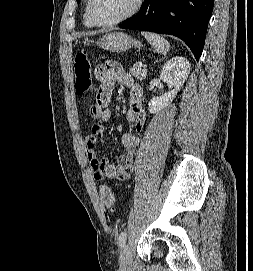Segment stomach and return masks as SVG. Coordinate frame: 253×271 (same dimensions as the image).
Instances as JSON below:
<instances>
[{
  "instance_id": "1",
  "label": "stomach",
  "mask_w": 253,
  "mask_h": 271,
  "mask_svg": "<svg viewBox=\"0 0 253 271\" xmlns=\"http://www.w3.org/2000/svg\"><path fill=\"white\" fill-rule=\"evenodd\" d=\"M96 44L98 47L104 50L117 53L125 52L131 47L141 46L139 41L133 39L131 36L123 32L106 34ZM87 45H89V42H87Z\"/></svg>"
}]
</instances>
